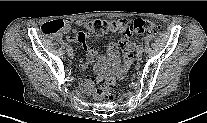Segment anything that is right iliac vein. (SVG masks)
Wrapping results in <instances>:
<instances>
[{"instance_id":"63e3f726","label":"right iliac vein","mask_w":207,"mask_h":123,"mask_svg":"<svg viewBox=\"0 0 207 123\" xmlns=\"http://www.w3.org/2000/svg\"><path fill=\"white\" fill-rule=\"evenodd\" d=\"M68 56H69L70 58H73V57H74V53H73L72 50L68 51Z\"/></svg>"}]
</instances>
